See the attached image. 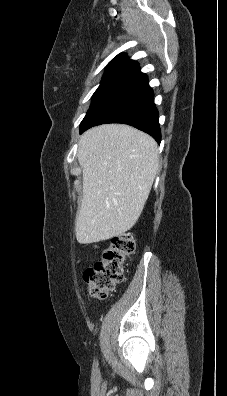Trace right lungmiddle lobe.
Listing matches in <instances>:
<instances>
[{
    "label": "right lung middle lobe",
    "mask_w": 227,
    "mask_h": 396,
    "mask_svg": "<svg viewBox=\"0 0 227 396\" xmlns=\"http://www.w3.org/2000/svg\"><path fill=\"white\" fill-rule=\"evenodd\" d=\"M133 73L134 72L127 70L106 71L100 86L92 96V103L85 118L106 98H108L120 85H122Z\"/></svg>",
    "instance_id": "dd1d6c3e"
}]
</instances>
